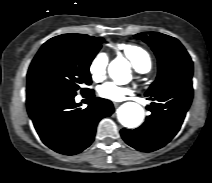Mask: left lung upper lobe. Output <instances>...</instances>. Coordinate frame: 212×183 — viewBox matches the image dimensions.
<instances>
[{"label": "left lung upper lobe", "instance_id": "1", "mask_svg": "<svg viewBox=\"0 0 212 183\" xmlns=\"http://www.w3.org/2000/svg\"><path fill=\"white\" fill-rule=\"evenodd\" d=\"M135 38L146 42L158 59V76L147 93L175 82L192 79L193 62L176 38L157 32H151L148 36L139 33Z\"/></svg>", "mask_w": 212, "mask_h": 183}]
</instances>
